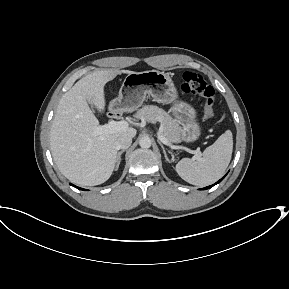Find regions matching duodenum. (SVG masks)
I'll return each mask as SVG.
<instances>
[{
  "instance_id": "1",
  "label": "duodenum",
  "mask_w": 289,
  "mask_h": 289,
  "mask_svg": "<svg viewBox=\"0 0 289 289\" xmlns=\"http://www.w3.org/2000/svg\"><path fill=\"white\" fill-rule=\"evenodd\" d=\"M108 115L111 118H119L121 116V113L119 110L112 108L109 110Z\"/></svg>"
}]
</instances>
